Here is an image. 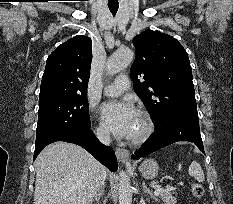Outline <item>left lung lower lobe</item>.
<instances>
[{
    "mask_svg": "<svg viewBox=\"0 0 233 204\" xmlns=\"http://www.w3.org/2000/svg\"><path fill=\"white\" fill-rule=\"evenodd\" d=\"M154 126V134L145 142L142 148L132 155V159L146 157L150 153L177 141L193 142L204 152L198 118L171 116L164 120L155 121Z\"/></svg>",
    "mask_w": 233,
    "mask_h": 204,
    "instance_id": "0a47b994",
    "label": "left lung lower lobe"
}]
</instances>
